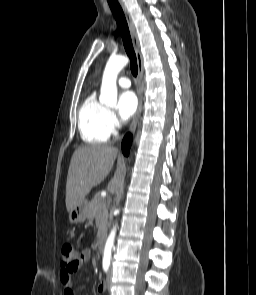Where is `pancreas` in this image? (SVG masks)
Instances as JSON below:
<instances>
[{"instance_id": "1", "label": "pancreas", "mask_w": 256, "mask_h": 295, "mask_svg": "<svg viewBox=\"0 0 256 295\" xmlns=\"http://www.w3.org/2000/svg\"><path fill=\"white\" fill-rule=\"evenodd\" d=\"M87 217L95 218L99 224L98 236L105 229L108 217V210L106 201L103 199L95 198L89 204L87 208Z\"/></svg>"}]
</instances>
